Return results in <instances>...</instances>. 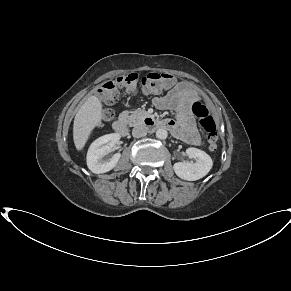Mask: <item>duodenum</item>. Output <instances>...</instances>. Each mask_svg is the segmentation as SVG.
<instances>
[{"mask_svg":"<svg viewBox=\"0 0 291 291\" xmlns=\"http://www.w3.org/2000/svg\"><path fill=\"white\" fill-rule=\"evenodd\" d=\"M144 125L150 129H165L167 125L165 121L155 119L153 117H147L144 120ZM113 129L119 134L126 133V122L124 117H120L113 122Z\"/></svg>","mask_w":291,"mask_h":291,"instance_id":"410a0bca","label":"duodenum"}]
</instances>
